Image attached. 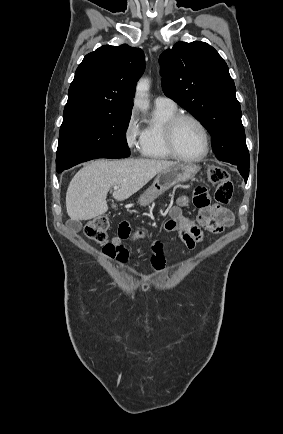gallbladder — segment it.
Returning <instances> with one entry per match:
<instances>
[{"label":"gallbladder","instance_id":"gallbladder-1","mask_svg":"<svg viewBox=\"0 0 283 434\" xmlns=\"http://www.w3.org/2000/svg\"><path fill=\"white\" fill-rule=\"evenodd\" d=\"M68 226L74 231H80L82 228V223L80 221H68Z\"/></svg>","mask_w":283,"mask_h":434}]
</instances>
